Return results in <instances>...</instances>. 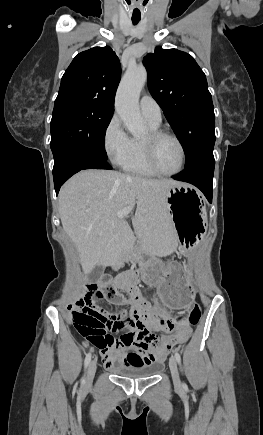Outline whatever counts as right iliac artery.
<instances>
[{
    "instance_id": "right-iliac-artery-1",
    "label": "right iliac artery",
    "mask_w": 263,
    "mask_h": 435,
    "mask_svg": "<svg viewBox=\"0 0 263 435\" xmlns=\"http://www.w3.org/2000/svg\"><path fill=\"white\" fill-rule=\"evenodd\" d=\"M90 361H91V353H88V354L86 355V357H85V361H84L85 368H87V366L89 365ZM81 382L84 383V382H85V379L82 378V379H81Z\"/></svg>"
}]
</instances>
